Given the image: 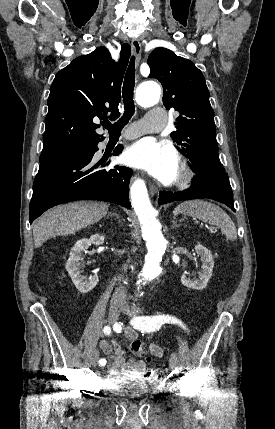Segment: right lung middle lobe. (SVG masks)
<instances>
[{
	"mask_svg": "<svg viewBox=\"0 0 275 429\" xmlns=\"http://www.w3.org/2000/svg\"><path fill=\"white\" fill-rule=\"evenodd\" d=\"M97 143H92V144H87V145H83V146H79L73 149H70L60 155H56L53 157H47V158H39V161L41 163L47 162V161H52V160H56V159H60V158H66V157H70V156H74V155H78L81 153H87L91 150H93L96 147Z\"/></svg>",
	"mask_w": 275,
	"mask_h": 429,
	"instance_id": "dd1d6c3e",
	"label": "right lung middle lobe"
}]
</instances>
